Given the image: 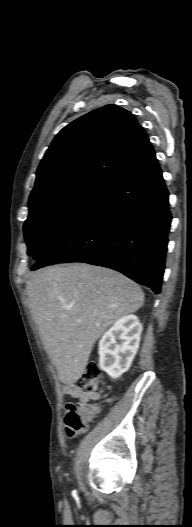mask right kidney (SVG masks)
<instances>
[{
    "label": "right kidney",
    "instance_id": "1",
    "mask_svg": "<svg viewBox=\"0 0 192 527\" xmlns=\"http://www.w3.org/2000/svg\"><path fill=\"white\" fill-rule=\"evenodd\" d=\"M141 332L138 318L128 315L104 333L99 341V365L110 377L118 378L129 369L139 348Z\"/></svg>",
    "mask_w": 192,
    "mask_h": 527
}]
</instances>
